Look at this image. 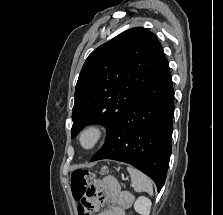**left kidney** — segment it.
Listing matches in <instances>:
<instances>
[{
    "instance_id": "left-kidney-1",
    "label": "left kidney",
    "mask_w": 223,
    "mask_h": 215,
    "mask_svg": "<svg viewBox=\"0 0 223 215\" xmlns=\"http://www.w3.org/2000/svg\"><path fill=\"white\" fill-rule=\"evenodd\" d=\"M151 205L152 203L148 197L140 195V197H138L134 203V209H136L138 213H141V215H149Z\"/></svg>"
}]
</instances>
